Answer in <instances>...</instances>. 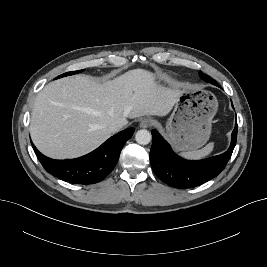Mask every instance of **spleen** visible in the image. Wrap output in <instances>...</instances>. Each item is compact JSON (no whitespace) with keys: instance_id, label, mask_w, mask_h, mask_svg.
Returning <instances> with one entry per match:
<instances>
[{"instance_id":"3e777b00","label":"spleen","mask_w":267,"mask_h":267,"mask_svg":"<svg viewBox=\"0 0 267 267\" xmlns=\"http://www.w3.org/2000/svg\"><path fill=\"white\" fill-rule=\"evenodd\" d=\"M214 149V143L207 144L204 148L196 151H188L182 153V156L188 159H201L208 156Z\"/></svg>"}]
</instances>
